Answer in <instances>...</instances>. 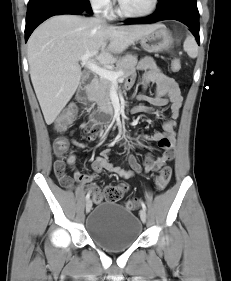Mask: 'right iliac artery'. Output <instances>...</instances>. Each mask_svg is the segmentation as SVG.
Returning <instances> with one entry per match:
<instances>
[{
	"instance_id": "right-iliac-artery-1",
	"label": "right iliac artery",
	"mask_w": 231,
	"mask_h": 281,
	"mask_svg": "<svg viewBox=\"0 0 231 281\" xmlns=\"http://www.w3.org/2000/svg\"><path fill=\"white\" fill-rule=\"evenodd\" d=\"M89 198H90V192L87 193L86 200H88Z\"/></svg>"
}]
</instances>
